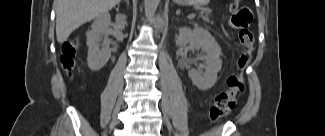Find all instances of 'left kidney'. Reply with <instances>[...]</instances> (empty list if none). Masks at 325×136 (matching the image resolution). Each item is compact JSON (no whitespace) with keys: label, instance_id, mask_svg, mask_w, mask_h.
<instances>
[{"label":"left kidney","instance_id":"obj_1","mask_svg":"<svg viewBox=\"0 0 325 136\" xmlns=\"http://www.w3.org/2000/svg\"><path fill=\"white\" fill-rule=\"evenodd\" d=\"M189 43L196 49H201L206 60L205 71L199 73L189 69V78L198 89L208 90L215 85L217 74L222 68L221 48L208 30L202 27H196L193 30L188 27H180L176 45L184 47Z\"/></svg>","mask_w":325,"mask_h":136}]
</instances>
